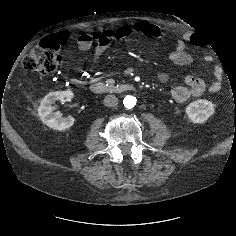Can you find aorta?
I'll return each instance as SVG.
<instances>
[{
  "mask_svg": "<svg viewBox=\"0 0 236 236\" xmlns=\"http://www.w3.org/2000/svg\"><path fill=\"white\" fill-rule=\"evenodd\" d=\"M136 97L132 96V95H127L125 96L124 100H123V104L124 107L127 109H131L136 105Z\"/></svg>",
  "mask_w": 236,
  "mask_h": 236,
  "instance_id": "1",
  "label": "aorta"
}]
</instances>
